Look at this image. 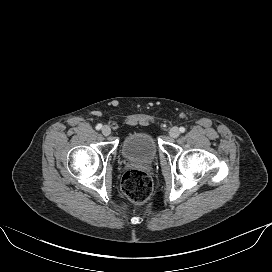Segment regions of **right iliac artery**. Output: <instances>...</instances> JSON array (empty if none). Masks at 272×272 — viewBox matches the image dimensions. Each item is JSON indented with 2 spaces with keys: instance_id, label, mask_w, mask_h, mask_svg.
I'll return each instance as SVG.
<instances>
[{
  "instance_id": "82829eb1",
  "label": "right iliac artery",
  "mask_w": 272,
  "mask_h": 272,
  "mask_svg": "<svg viewBox=\"0 0 272 272\" xmlns=\"http://www.w3.org/2000/svg\"><path fill=\"white\" fill-rule=\"evenodd\" d=\"M102 128V125L101 124H98L97 126H96V129L97 130H100Z\"/></svg>"
}]
</instances>
